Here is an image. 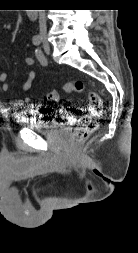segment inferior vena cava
<instances>
[{
    "label": "inferior vena cava",
    "mask_w": 138,
    "mask_h": 253,
    "mask_svg": "<svg viewBox=\"0 0 138 253\" xmlns=\"http://www.w3.org/2000/svg\"><path fill=\"white\" fill-rule=\"evenodd\" d=\"M39 29L41 37L45 39L47 33L45 10H39Z\"/></svg>",
    "instance_id": "1"
}]
</instances>
